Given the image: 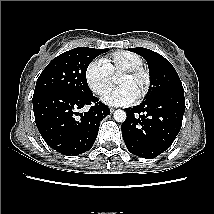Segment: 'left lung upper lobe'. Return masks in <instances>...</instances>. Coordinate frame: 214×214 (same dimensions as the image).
<instances>
[{"label": "left lung upper lobe", "mask_w": 214, "mask_h": 214, "mask_svg": "<svg viewBox=\"0 0 214 214\" xmlns=\"http://www.w3.org/2000/svg\"><path fill=\"white\" fill-rule=\"evenodd\" d=\"M128 50L141 55L148 63L151 86L146 100L168 93H184L176 70L162 55L142 47Z\"/></svg>", "instance_id": "obj_1"}]
</instances>
